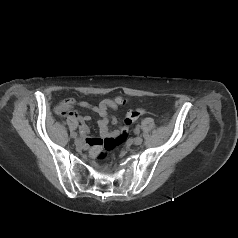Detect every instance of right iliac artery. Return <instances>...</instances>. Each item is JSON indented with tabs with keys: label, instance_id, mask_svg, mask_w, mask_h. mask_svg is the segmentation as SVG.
I'll use <instances>...</instances> for the list:
<instances>
[{
	"label": "right iliac artery",
	"instance_id": "obj_1",
	"mask_svg": "<svg viewBox=\"0 0 238 238\" xmlns=\"http://www.w3.org/2000/svg\"><path fill=\"white\" fill-rule=\"evenodd\" d=\"M73 137L76 138V137H77V134H74Z\"/></svg>",
	"mask_w": 238,
	"mask_h": 238
}]
</instances>
